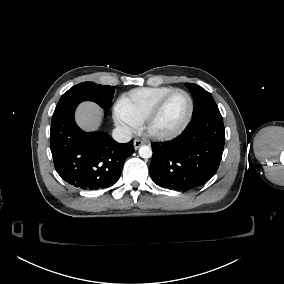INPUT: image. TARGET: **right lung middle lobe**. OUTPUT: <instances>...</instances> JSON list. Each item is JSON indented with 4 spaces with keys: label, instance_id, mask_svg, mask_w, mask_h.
Wrapping results in <instances>:
<instances>
[{
    "label": "right lung middle lobe",
    "instance_id": "obj_1",
    "mask_svg": "<svg viewBox=\"0 0 284 284\" xmlns=\"http://www.w3.org/2000/svg\"><path fill=\"white\" fill-rule=\"evenodd\" d=\"M113 96V86H104L92 82L79 83L61 96L55 111L71 104H79L83 101H93L102 108L109 109Z\"/></svg>",
    "mask_w": 284,
    "mask_h": 284
}]
</instances>
